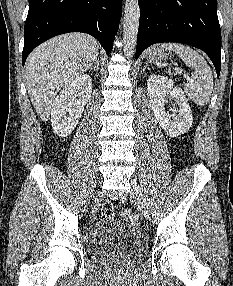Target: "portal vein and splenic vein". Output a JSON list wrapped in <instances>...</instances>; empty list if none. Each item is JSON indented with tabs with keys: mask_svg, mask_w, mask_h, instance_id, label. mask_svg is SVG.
I'll list each match as a JSON object with an SVG mask.
<instances>
[{
	"mask_svg": "<svg viewBox=\"0 0 233 286\" xmlns=\"http://www.w3.org/2000/svg\"><path fill=\"white\" fill-rule=\"evenodd\" d=\"M178 72V74H181V71H177ZM184 77L187 79V80H190V78H189V76L187 75V74H184Z\"/></svg>",
	"mask_w": 233,
	"mask_h": 286,
	"instance_id": "portal-vein-and-splenic-vein-1",
	"label": "portal vein and splenic vein"
}]
</instances>
